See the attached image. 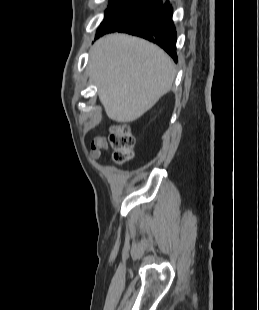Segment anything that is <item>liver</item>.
I'll list each match as a JSON object with an SVG mask.
<instances>
[{
	"label": "liver",
	"instance_id": "6515ba94",
	"mask_svg": "<svg viewBox=\"0 0 259 310\" xmlns=\"http://www.w3.org/2000/svg\"><path fill=\"white\" fill-rule=\"evenodd\" d=\"M90 78L107 116L133 122L172 88V59L158 46L126 34L106 35L90 50Z\"/></svg>",
	"mask_w": 259,
	"mask_h": 310
}]
</instances>
